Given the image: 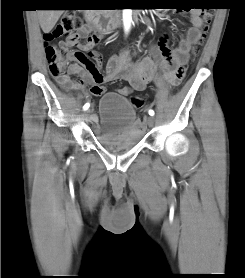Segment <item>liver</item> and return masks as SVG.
<instances>
[{
	"label": "liver",
	"mask_w": 245,
	"mask_h": 278,
	"mask_svg": "<svg viewBox=\"0 0 245 278\" xmlns=\"http://www.w3.org/2000/svg\"><path fill=\"white\" fill-rule=\"evenodd\" d=\"M62 13L63 10H38L39 23L45 34L53 29Z\"/></svg>",
	"instance_id": "6515ba94"
}]
</instances>
